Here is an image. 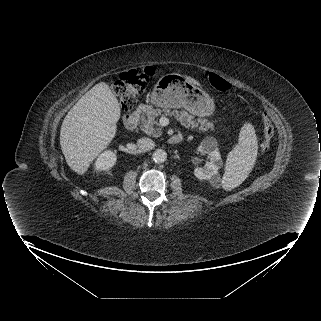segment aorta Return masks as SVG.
I'll return each instance as SVG.
<instances>
[{
	"label": "aorta",
	"mask_w": 321,
	"mask_h": 321,
	"mask_svg": "<svg viewBox=\"0 0 321 321\" xmlns=\"http://www.w3.org/2000/svg\"><path fill=\"white\" fill-rule=\"evenodd\" d=\"M152 159L155 163H163L167 159V153L163 149H157L153 152Z\"/></svg>",
	"instance_id": "obj_1"
}]
</instances>
